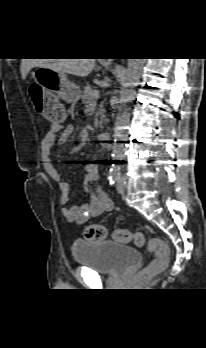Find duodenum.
Returning <instances> with one entry per match:
<instances>
[{
	"label": "duodenum",
	"mask_w": 206,
	"mask_h": 348,
	"mask_svg": "<svg viewBox=\"0 0 206 348\" xmlns=\"http://www.w3.org/2000/svg\"><path fill=\"white\" fill-rule=\"evenodd\" d=\"M98 139L102 142L110 139V133L107 131L101 132L98 136Z\"/></svg>",
	"instance_id": "410a0bca"
}]
</instances>
